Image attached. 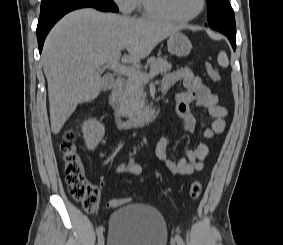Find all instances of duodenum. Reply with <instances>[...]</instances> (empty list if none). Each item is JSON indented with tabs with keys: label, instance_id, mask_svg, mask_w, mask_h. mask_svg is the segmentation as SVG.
<instances>
[{
	"label": "duodenum",
	"instance_id": "1",
	"mask_svg": "<svg viewBox=\"0 0 283 245\" xmlns=\"http://www.w3.org/2000/svg\"><path fill=\"white\" fill-rule=\"evenodd\" d=\"M123 86L124 80L122 78H118L113 85L109 97V104L112 109L115 126L119 129H130L141 127L152 122L158 114V111L154 109L130 118H125L123 116L120 110Z\"/></svg>",
	"mask_w": 283,
	"mask_h": 245
}]
</instances>
